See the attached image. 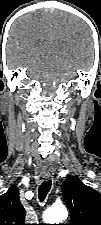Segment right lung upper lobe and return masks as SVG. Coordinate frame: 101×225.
<instances>
[{
	"label": "right lung upper lobe",
	"mask_w": 101,
	"mask_h": 225,
	"mask_svg": "<svg viewBox=\"0 0 101 225\" xmlns=\"http://www.w3.org/2000/svg\"><path fill=\"white\" fill-rule=\"evenodd\" d=\"M26 211L19 200V189L12 185L0 196V225H25Z\"/></svg>",
	"instance_id": "obj_1"
}]
</instances>
